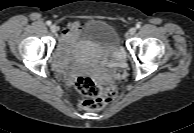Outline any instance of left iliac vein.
<instances>
[{
  "mask_svg": "<svg viewBox=\"0 0 194 133\" xmlns=\"http://www.w3.org/2000/svg\"><path fill=\"white\" fill-rule=\"evenodd\" d=\"M135 33H136V28H134V27L130 28L129 34L132 36V35H134Z\"/></svg>",
  "mask_w": 194,
  "mask_h": 133,
  "instance_id": "1",
  "label": "left iliac vein"
}]
</instances>
